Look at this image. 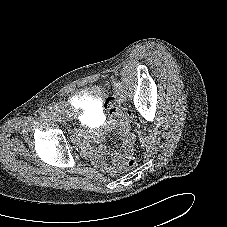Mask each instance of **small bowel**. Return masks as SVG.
<instances>
[{
	"label": "small bowel",
	"mask_w": 227,
	"mask_h": 227,
	"mask_svg": "<svg viewBox=\"0 0 227 227\" xmlns=\"http://www.w3.org/2000/svg\"><path fill=\"white\" fill-rule=\"evenodd\" d=\"M84 150H85L86 152H89V153L92 152V148H91V146H90L89 144H85V145H84ZM105 150H106L105 147H101V148L99 149V151H98V154L100 155V154H101L103 151H105ZM105 168H106V170H107L108 172H110L111 174H116V173H117V169H116V167H115L114 164H110V165L105 164Z\"/></svg>",
	"instance_id": "1"
}]
</instances>
